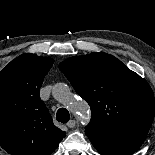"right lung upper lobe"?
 Wrapping results in <instances>:
<instances>
[{
	"instance_id": "obj_1",
	"label": "right lung upper lobe",
	"mask_w": 155,
	"mask_h": 155,
	"mask_svg": "<svg viewBox=\"0 0 155 155\" xmlns=\"http://www.w3.org/2000/svg\"><path fill=\"white\" fill-rule=\"evenodd\" d=\"M53 63L26 53L0 72V146L10 155H50L65 137L39 96Z\"/></svg>"
}]
</instances>
